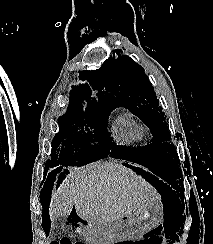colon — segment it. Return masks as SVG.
Wrapping results in <instances>:
<instances>
[{
	"mask_svg": "<svg viewBox=\"0 0 213 244\" xmlns=\"http://www.w3.org/2000/svg\"><path fill=\"white\" fill-rule=\"evenodd\" d=\"M50 244H85L83 242H73L71 239L62 238L58 241H52Z\"/></svg>",
	"mask_w": 213,
	"mask_h": 244,
	"instance_id": "5ec220e1",
	"label": "colon"
}]
</instances>
